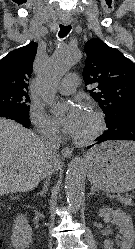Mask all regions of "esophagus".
Here are the masks:
<instances>
[{
    "instance_id": "obj_1",
    "label": "esophagus",
    "mask_w": 135,
    "mask_h": 249,
    "mask_svg": "<svg viewBox=\"0 0 135 249\" xmlns=\"http://www.w3.org/2000/svg\"><path fill=\"white\" fill-rule=\"evenodd\" d=\"M63 23L68 25V24L71 23V21L70 20H63ZM72 153H73V150L71 148H69V147H64L61 150V155L64 156V157H71Z\"/></svg>"
}]
</instances>
